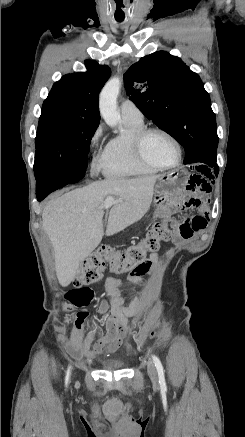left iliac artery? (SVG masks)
<instances>
[{
  "mask_svg": "<svg viewBox=\"0 0 245 437\" xmlns=\"http://www.w3.org/2000/svg\"><path fill=\"white\" fill-rule=\"evenodd\" d=\"M152 359H153V362H154L155 367L157 369L160 387L162 389H166V382H165L164 370H163L162 363H161L160 359L155 355H152Z\"/></svg>",
  "mask_w": 245,
  "mask_h": 437,
  "instance_id": "left-iliac-artery-1",
  "label": "left iliac artery"
}]
</instances>
